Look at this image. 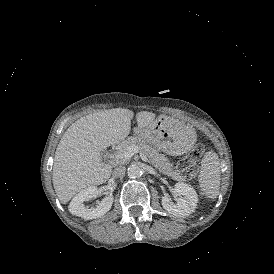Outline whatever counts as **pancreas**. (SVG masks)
Masks as SVG:
<instances>
[{"label":"pancreas","instance_id":"pancreas-1","mask_svg":"<svg viewBox=\"0 0 274 274\" xmlns=\"http://www.w3.org/2000/svg\"><path fill=\"white\" fill-rule=\"evenodd\" d=\"M136 145L139 148V152L146 155L149 158L150 163L157 168L161 173L170 176L172 179L177 181H185L186 177L181 176L173 168V164L169 162L168 158L164 154H160L157 149L148 145L142 137H128L126 140L120 143L117 148L116 154L123 153L128 146ZM129 159H117V165L128 164Z\"/></svg>","mask_w":274,"mask_h":274}]
</instances>
